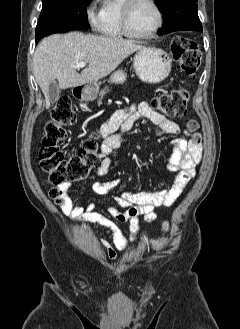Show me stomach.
Here are the masks:
<instances>
[{
  "mask_svg": "<svg viewBox=\"0 0 240 329\" xmlns=\"http://www.w3.org/2000/svg\"><path fill=\"white\" fill-rule=\"evenodd\" d=\"M171 59L162 49L155 47H142L133 58V67L139 79L145 83L156 84L168 77L171 71ZM110 80L112 83H123L126 74L122 70L114 72ZM99 84L88 83L82 89L81 97L92 101L97 97Z\"/></svg>",
  "mask_w": 240,
  "mask_h": 329,
  "instance_id": "1",
  "label": "stomach"
}]
</instances>
